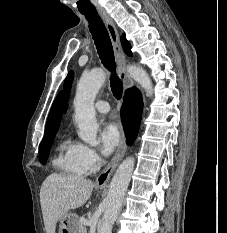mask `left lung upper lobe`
<instances>
[{
	"label": "left lung upper lobe",
	"instance_id": "5c2ea615",
	"mask_svg": "<svg viewBox=\"0 0 227 233\" xmlns=\"http://www.w3.org/2000/svg\"><path fill=\"white\" fill-rule=\"evenodd\" d=\"M121 43H122L125 53L128 56H131L132 55L131 46H130V43L126 40L125 34H123L121 37ZM73 77H74L73 72H69L64 82V110L65 111L67 110V98L69 96Z\"/></svg>",
	"mask_w": 227,
	"mask_h": 233
}]
</instances>
